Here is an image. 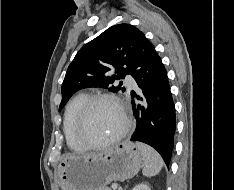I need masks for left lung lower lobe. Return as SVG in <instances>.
<instances>
[{"label":"left lung lower lobe","instance_id":"obj_1","mask_svg":"<svg viewBox=\"0 0 234 190\" xmlns=\"http://www.w3.org/2000/svg\"><path fill=\"white\" fill-rule=\"evenodd\" d=\"M133 78L141 96L131 91L137 121L131 140L152 146L169 167L176 127L175 107L165 67L146 37L140 43ZM135 99L142 102L136 104Z\"/></svg>","mask_w":234,"mask_h":190}]
</instances>
